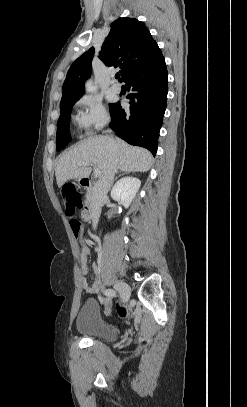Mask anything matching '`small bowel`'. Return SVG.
Instances as JSON below:
<instances>
[{"label":"small bowel","instance_id":"1","mask_svg":"<svg viewBox=\"0 0 247 407\" xmlns=\"http://www.w3.org/2000/svg\"><path fill=\"white\" fill-rule=\"evenodd\" d=\"M88 254H89V249L87 246L82 245L81 247V255H80V261H81V273L83 275V282H82V286L83 289L87 292V293H98L99 291V282L96 281L94 282L92 285H89L87 280H86V276L88 274V266H87V261H88ZM93 270L95 272L98 271V267L97 265H93ZM104 305L107 309H109L111 307V302L109 299H104Z\"/></svg>","mask_w":247,"mask_h":407}]
</instances>
